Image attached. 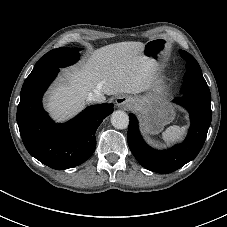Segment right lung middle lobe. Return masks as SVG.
Segmentation results:
<instances>
[{"mask_svg":"<svg viewBox=\"0 0 227 227\" xmlns=\"http://www.w3.org/2000/svg\"><path fill=\"white\" fill-rule=\"evenodd\" d=\"M79 50L80 48L61 47L49 51L35 64L34 69L26 80L32 79L52 68H63L74 64L79 59Z\"/></svg>","mask_w":227,"mask_h":227,"instance_id":"dd1d6c3e","label":"right lung middle lobe"}]
</instances>
